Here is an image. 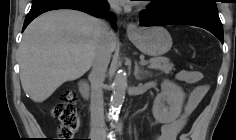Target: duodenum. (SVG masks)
I'll return each mask as SVG.
<instances>
[{
    "label": "duodenum",
    "mask_w": 236,
    "mask_h": 140,
    "mask_svg": "<svg viewBox=\"0 0 236 140\" xmlns=\"http://www.w3.org/2000/svg\"><path fill=\"white\" fill-rule=\"evenodd\" d=\"M79 89L84 98H89V85L86 81L81 80L79 82Z\"/></svg>",
    "instance_id": "duodenum-1"
}]
</instances>
